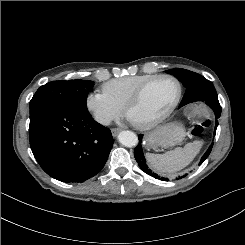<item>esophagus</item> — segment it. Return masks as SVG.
<instances>
[{"label": "esophagus", "instance_id": "34e87169", "mask_svg": "<svg viewBox=\"0 0 245 245\" xmlns=\"http://www.w3.org/2000/svg\"><path fill=\"white\" fill-rule=\"evenodd\" d=\"M111 132H112V135L115 137V136H117V134L120 132V129H118V128H113V129H111Z\"/></svg>", "mask_w": 245, "mask_h": 245}]
</instances>
